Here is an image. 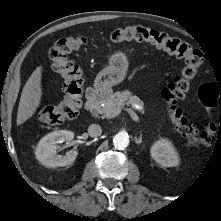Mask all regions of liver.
<instances>
[{
    "label": "liver",
    "instance_id": "liver-1",
    "mask_svg": "<svg viewBox=\"0 0 221 221\" xmlns=\"http://www.w3.org/2000/svg\"><path fill=\"white\" fill-rule=\"evenodd\" d=\"M42 66H38L31 74L21 93L17 112V125L23 124L34 115L42 97Z\"/></svg>",
    "mask_w": 221,
    "mask_h": 221
}]
</instances>
